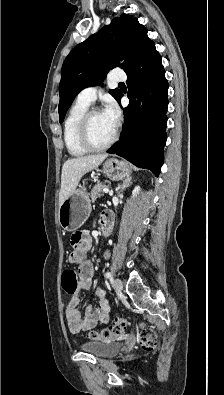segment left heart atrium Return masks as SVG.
<instances>
[{"label":"left heart atrium","instance_id":"1","mask_svg":"<svg viewBox=\"0 0 224 395\" xmlns=\"http://www.w3.org/2000/svg\"><path fill=\"white\" fill-rule=\"evenodd\" d=\"M102 113L112 124H114L115 126L117 125L120 118V112L116 103L113 100H108L106 102Z\"/></svg>","mask_w":224,"mask_h":395}]
</instances>
